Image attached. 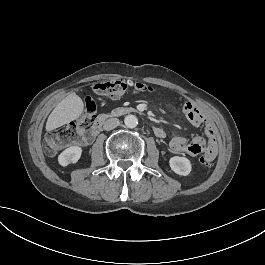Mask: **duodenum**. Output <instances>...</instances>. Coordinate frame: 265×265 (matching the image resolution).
Returning a JSON list of instances; mask_svg holds the SVG:
<instances>
[{
	"label": "duodenum",
	"instance_id": "obj_1",
	"mask_svg": "<svg viewBox=\"0 0 265 265\" xmlns=\"http://www.w3.org/2000/svg\"><path fill=\"white\" fill-rule=\"evenodd\" d=\"M108 117H109V114L98 117V119L96 120L92 129H95L96 131H98V133H100L102 131L103 123ZM153 132L157 138H164L165 137V132L160 127H155L153 129Z\"/></svg>",
	"mask_w": 265,
	"mask_h": 265
}]
</instances>
